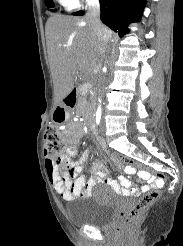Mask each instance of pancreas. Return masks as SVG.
Listing matches in <instances>:
<instances>
[{
  "instance_id": "pancreas-1",
  "label": "pancreas",
  "mask_w": 183,
  "mask_h": 246,
  "mask_svg": "<svg viewBox=\"0 0 183 246\" xmlns=\"http://www.w3.org/2000/svg\"><path fill=\"white\" fill-rule=\"evenodd\" d=\"M81 105L84 107L85 106V98L82 99Z\"/></svg>"
}]
</instances>
